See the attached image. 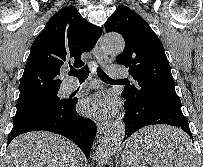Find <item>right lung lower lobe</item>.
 <instances>
[{
    "label": "right lung lower lobe",
    "instance_id": "98d812e1",
    "mask_svg": "<svg viewBox=\"0 0 203 167\" xmlns=\"http://www.w3.org/2000/svg\"><path fill=\"white\" fill-rule=\"evenodd\" d=\"M77 98L69 99L62 109L39 114L15 124L8 135V144L18 135L37 130H44L63 135L73 141L83 151L86 158L96 135V124L89 118L81 117L76 112Z\"/></svg>",
    "mask_w": 203,
    "mask_h": 167
}]
</instances>
